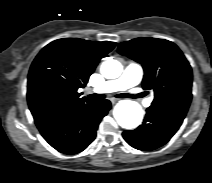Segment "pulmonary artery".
Segmentation results:
<instances>
[{"instance_id": "pulmonary-artery-1", "label": "pulmonary artery", "mask_w": 212, "mask_h": 183, "mask_svg": "<svg viewBox=\"0 0 212 183\" xmlns=\"http://www.w3.org/2000/svg\"><path fill=\"white\" fill-rule=\"evenodd\" d=\"M143 77V68L142 66L134 61L127 63L122 74L114 79L105 81L95 88V91L98 93H110L115 91H124L129 88L136 86ZM146 107L151 105V99H148L144 102Z\"/></svg>"}]
</instances>
